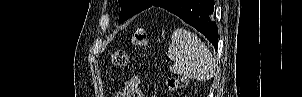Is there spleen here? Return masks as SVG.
Listing matches in <instances>:
<instances>
[{"label":"spleen","mask_w":302,"mask_h":97,"mask_svg":"<svg viewBox=\"0 0 302 97\" xmlns=\"http://www.w3.org/2000/svg\"><path fill=\"white\" fill-rule=\"evenodd\" d=\"M168 57L174 61L173 73L205 81L215 73V61L204 42L191 31L176 29L171 36Z\"/></svg>","instance_id":"obj_1"}]
</instances>
